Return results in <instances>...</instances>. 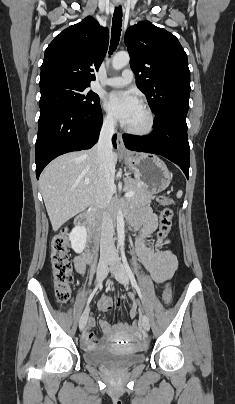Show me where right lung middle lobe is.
<instances>
[{
  "label": "right lung middle lobe",
  "instance_id": "obj_1",
  "mask_svg": "<svg viewBox=\"0 0 235 404\" xmlns=\"http://www.w3.org/2000/svg\"><path fill=\"white\" fill-rule=\"evenodd\" d=\"M87 87L67 82L42 84L40 109L55 106L72 111H86L100 106L99 96L93 91L87 93Z\"/></svg>",
  "mask_w": 235,
  "mask_h": 404
}]
</instances>
